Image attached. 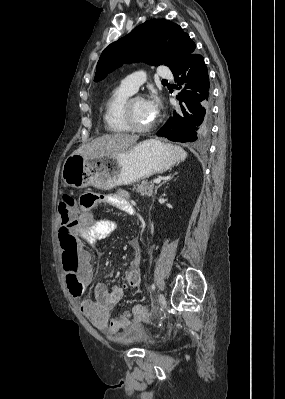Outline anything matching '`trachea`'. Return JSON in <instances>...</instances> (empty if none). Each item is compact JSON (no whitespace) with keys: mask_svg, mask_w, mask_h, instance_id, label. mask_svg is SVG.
<instances>
[{"mask_svg":"<svg viewBox=\"0 0 285 399\" xmlns=\"http://www.w3.org/2000/svg\"><path fill=\"white\" fill-rule=\"evenodd\" d=\"M163 82H167V80H162Z\"/></svg>","mask_w":285,"mask_h":399,"instance_id":"1","label":"trachea"}]
</instances>
